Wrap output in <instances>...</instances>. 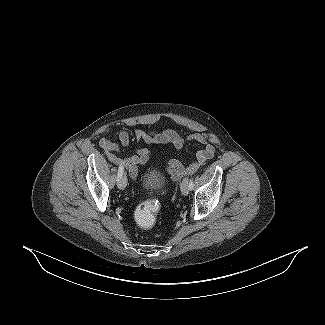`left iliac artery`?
<instances>
[{"mask_svg": "<svg viewBox=\"0 0 325 325\" xmlns=\"http://www.w3.org/2000/svg\"><path fill=\"white\" fill-rule=\"evenodd\" d=\"M193 179H194V177L191 178L190 181H189V189H190V190H192V189H193V186H194V184H193Z\"/></svg>", "mask_w": 325, "mask_h": 325, "instance_id": "left-iliac-artery-1", "label": "left iliac artery"}]
</instances>
